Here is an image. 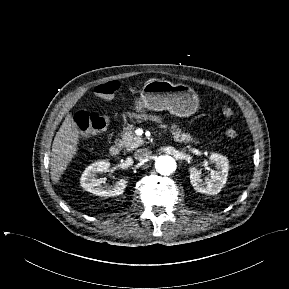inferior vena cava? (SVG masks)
Wrapping results in <instances>:
<instances>
[{
    "label": "inferior vena cava",
    "mask_w": 289,
    "mask_h": 289,
    "mask_svg": "<svg viewBox=\"0 0 289 289\" xmlns=\"http://www.w3.org/2000/svg\"><path fill=\"white\" fill-rule=\"evenodd\" d=\"M149 156L150 152L146 148L138 149L134 154V158L138 161H145L149 158Z\"/></svg>",
    "instance_id": "1"
}]
</instances>
